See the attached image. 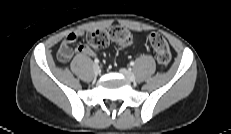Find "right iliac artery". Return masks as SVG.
<instances>
[{
	"instance_id": "1",
	"label": "right iliac artery",
	"mask_w": 231,
	"mask_h": 134,
	"mask_svg": "<svg viewBox=\"0 0 231 134\" xmlns=\"http://www.w3.org/2000/svg\"><path fill=\"white\" fill-rule=\"evenodd\" d=\"M94 63H95V64H98V63H99V60H98V59H95V60H94Z\"/></svg>"
}]
</instances>
